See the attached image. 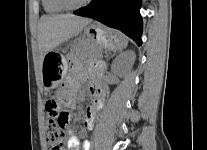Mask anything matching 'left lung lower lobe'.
Segmentation results:
<instances>
[{
  "label": "left lung lower lobe",
  "mask_w": 207,
  "mask_h": 150,
  "mask_svg": "<svg viewBox=\"0 0 207 150\" xmlns=\"http://www.w3.org/2000/svg\"><path fill=\"white\" fill-rule=\"evenodd\" d=\"M140 8L141 0H93L86 7L74 11V14L119 29L140 46L143 32Z\"/></svg>",
  "instance_id": "0a47b994"
}]
</instances>
